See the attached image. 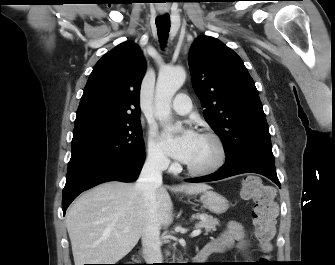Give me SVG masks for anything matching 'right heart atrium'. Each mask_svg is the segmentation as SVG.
<instances>
[{
  "label": "right heart atrium",
  "instance_id": "right-heart-atrium-1",
  "mask_svg": "<svg viewBox=\"0 0 335 265\" xmlns=\"http://www.w3.org/2000/svg\"><path fill=\"white\" fill-rule=\"evenodd\" d=\"M146 157L147 162L158 170H165L170 165V160L154 131H151L148 136Z\"/></svg>",
  "mask_w": 335,
  "mask_h": 265
}]
</instances>
